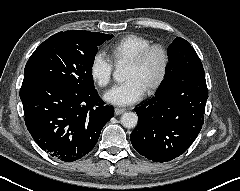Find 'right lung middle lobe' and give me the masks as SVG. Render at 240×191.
I'll return each instance as SVG.
<instances>
[{"instance_id":"1","label":"right lung middle lobe","mask_w":240,"mask_h":191,"mask_svg":"<svg viewBox=\"0 0 240 191\" xmlns=\"http://www.w3.org/2000/svg\"><path fill=\"white\" fill-rule=\"evenodd\" d=\"M113 35H73L59 32L44 41L31 55L23 82H53L77 92L94 89L92 66L97 46Z\"/></svg>"}]
</instances>
